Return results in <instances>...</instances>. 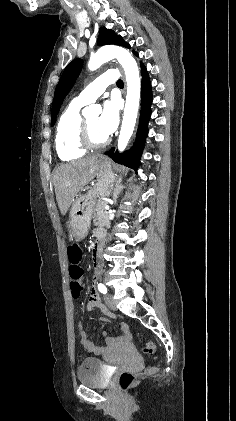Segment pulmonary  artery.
Listing matches in <instances>:
<instances>
[{"mask_svg": "<svg viewBox=\"0 0 236 421\" xmlns=\"http://www.w3.org/2000/svg\"><path fill=\"white\" fill-rule=\"evenodd\" d=\"M116 71L114 69H107L104 74H102L96 83L90 84L81 94L75 98V101L79 102L82 105H86L94 101L97 97L100 96L102 92L108 87V85L113 84L116 79Z\"/></svg>", "mask_w": 236, "mask_h": 421, "instance_id": "obj_1", "label": "pulmonary artery"}]
</instances>
